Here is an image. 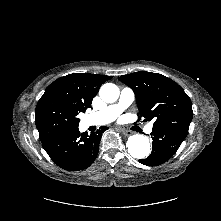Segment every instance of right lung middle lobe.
<instances>
[{
	"label": "right lung middle lobe",
	"mask_w": 221,
	"mask_h": 221,
	"mask_svg": "<svg viewBox=\"0 0 221 221\" xmlns=\"http://www.w3.org/2000/svg\"><path fill=\"white\" fill-rule=\"evenodd\" d=\"M85 112L58 95H50L39 101L35 114V123L41 142L57 135L78 129L77 115Z\"/></svg>",
	"instance_id": "right-lung-middle-lobe-1"
}]
</instances>
